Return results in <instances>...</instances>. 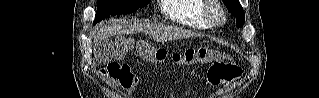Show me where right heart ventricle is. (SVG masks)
<instances>
[{"instance_id": "obj_1", "label": "right heart ventricle", "mask_w": 319, "mask_h": 98, "mask_svg": "<svg viewBox=\"0 0 319 98\" xmlns=\"http://www.w3.org/2000/svg\"><path fill=\"white\" fill-rule=\"evenodd\" d=\"M203 9L202 0H165L161 8L168 19L196 30L210 27L204 17Z\"/></svg>"}]
</instances>
